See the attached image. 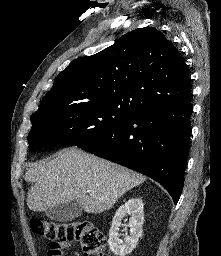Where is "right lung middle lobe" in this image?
<instances>
[{"instance_id": "1", "label": "right lung middle lobe", "mask_w": 221, "mask_h": 256, "mask_svg": "<svg viewBox=\"0 0 221 256\" xmlns=\"http://www.w3.org/2000/svg\"><path fill=\"white\" fill-rule=\"evenodd\" d=\"M130 109L110 104H80L31 116L30 149L80 145L131 119Z\"/></svg>"}]
</instances>
